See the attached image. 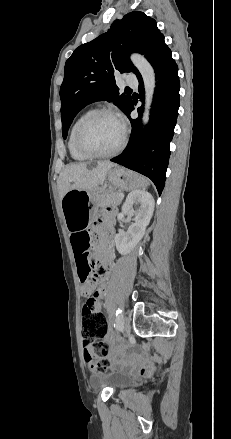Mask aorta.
Wrapping results in <instances>:
<instances>
[{
  "mask_svg": "<svg viewBox=\"0 0 231 439\" xmlns=\"http://www.w3.org/2000/svg\"><path fill=\"white\" fill-rule=\"evenodd\" d=\"M131 61L135 67L139 70L145 88V105L144 113L142 117L143 125H146L149 121L151 104L153 101V95L155 90V72L152 65L140 54H132Z\"/></svg>",
  "mask_w": 231,
  "mask_h": 439,
  "instance_id": "1",
  "label": "aorta"
}]
</instances>
